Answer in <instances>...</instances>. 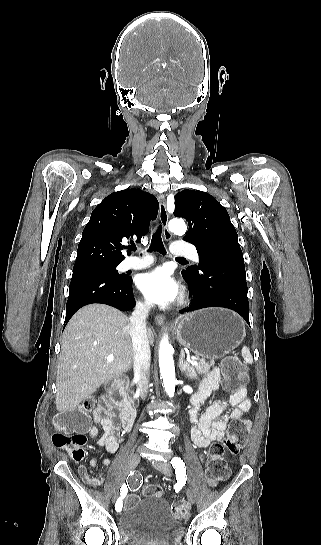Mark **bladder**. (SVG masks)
I'll use <instances>...</instances> for the list:
<instances>
[{"label":"bladder","mask_w":321,"mask_h":545,"mask_svg":"<svg viewBox=\"0 0 321 545\" xmlns=\"http://www.w3.org/2000/svg\"><path fill=\"white\" fill-rule=\"evenodd\" d=\"M119 534L127 545H178L183 523L175 518L161 496H147L118 515Z\"/></svg>","instance_id":"31cf9c89"}]
</instances>
